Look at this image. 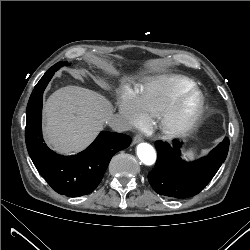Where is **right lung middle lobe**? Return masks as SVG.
Returning <instances> with one entry per match:
<instances>
[{
	"label": "right lung middle lobe",
	"mask_w": 250,
	"mask_h": 250,
	"mask_svg": "<svg viewBox=\"0 0 250 250\" xmlns=\"http://www.w3.org/2000/svg\"><path fill=\"white\" fill-rule=\"evenodd\" d=\"M63 65H68V63L67 62H59V63L55 64L54 67H56L57 69H59Z\"/></svg>",
	"instance_id": "dd1d6c3e"
}]
</instances>
